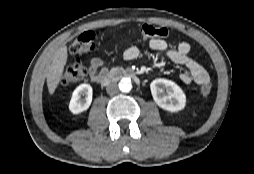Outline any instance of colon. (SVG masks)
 <instances>
[{
	"label": "colon",
	"mask_w": 254,
	"mask_h": 174,
	"mask_svg": "<svg viewBox=\"0 0 254 174\" xmlns=\"http://www.w3.org/2000/svg\"><path fill=\"white\" fill-rule=\"evenodd\" d=\"M142 38H167L169 31L164 27L144 24L140 27ZM95 48V35L92 32L81 34L71 45V53L76 57V62L68 66L61 78V83L66 85L83 80L87 74L82 56ZM212 91V85L206 82L200 89L202 97H207Z\"/></svg>",
	"instance_id": "1"
}]
</instances>
